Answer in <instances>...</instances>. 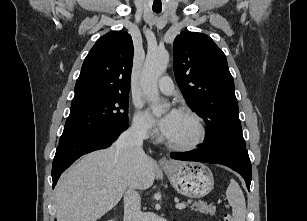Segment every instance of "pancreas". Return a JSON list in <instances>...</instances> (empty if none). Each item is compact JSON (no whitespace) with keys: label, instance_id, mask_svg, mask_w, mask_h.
I'll use <instances>...</instances> for the list:
<instances>
[{"label":"pancreas","instance_id":"1","mask_svg":"<svg viewBox=\"0 0 307 221\" xmlns=\"http://www.w3.org/2000/svg\"><path fill=\"white\" fill-rule=\"evenodd\" d=\"M190 204V201H188ZM192 210L199 211L201 213L210 214L211 216L215 215L216 208L212 205L207 204L203 201L193 202L191 205Z\"/></svg>","mask_w":307,"mask_h":221}]
</instances>
